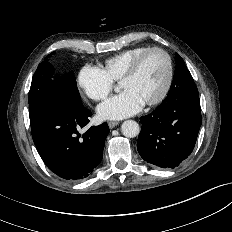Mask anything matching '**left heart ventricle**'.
I'll use <instances>...</instances> for the list:
<instances>
[{"instance_id": "1", "label": "left heart ventricle", "mask_w": 232, "mask_h": 232, "mask_svg": "<svg viewBox=\"0 0 232 232\" xmlns=\"http://www.w3.org/2000/svg\"><path fill=\"white\" fill-rule=\"evenodd\" d=\"M167 77V61L162 53L148 55L131 79L120 84L145 102L155 98L162 90Z\"/></svg>"}]
</instances>
